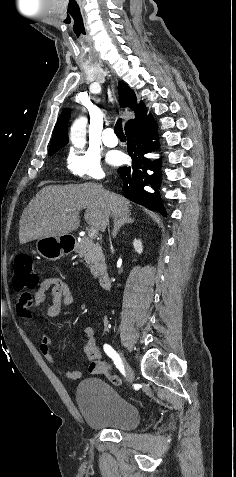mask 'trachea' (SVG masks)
Returning a JSON list of instances; mask_svg holds the SVG:
<instances>
[{"label": "trachea", "mask_w": 236, "mask_h": 477, "mask_svg": "<svg viewBox=\"0 0 236 477\" xmlns=\"http://www.w3.org/2000/svg\"><path fill=\"white\" fill-rule=\"evenodd\" d=\"M115 133L119 138H125L123 128H122V119L119 118L114 127Z\"/></svg>", "instance_id": "3493384b"}]
</instances>
